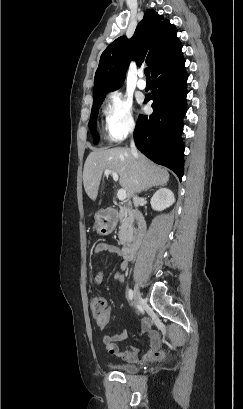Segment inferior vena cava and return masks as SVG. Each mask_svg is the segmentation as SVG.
Wrapping results in <instances>:
<instances>
[{
	"mask_svg": "<svg viewBox=\"0 0 243 409\" xmlns=\"http://www.w3.org/2000/svg\"><path fill=\"white\" fill-rule=\"evenodd\" d=\"M130 147H131V152H132V154L136 156L138 153H137V148H136V146H135V143H134V140H133V139L131 140ZM140 200H141V199H140L138 196H134V197H133V203H134V206H135V207H138V206H139Z\"/></svg>",
	"mask_w": 243,
	"mask_h": 409,
	"instance_id": "602c4592",
	"label": "inferior vena cava"
}]
</instances>
